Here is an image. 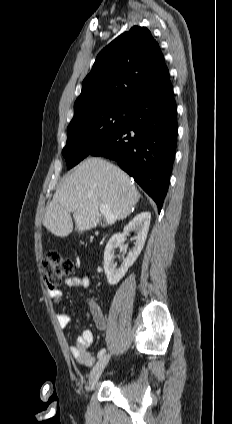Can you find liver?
Listing matches in <instances>:
<instances>
[{
    "mask_svg": "<svg viewBox=\"0 0 232 424\" xmlns=\"http://www.w3.org/2000/svg\"><path fill=\"white\" fill-rule=\"evenodd\" d=\"M139 199L130 177L102 158H87L67 174L47 207L43 225L58 237L76 229L95 228L101 218L100 205H107L115 221L130 215Z\"/></svg>",
    "mask_w": 232,
    "mask_h": 424,
    "instance_id": "obj_1",
    "label": "liver"
}]
</instances>
